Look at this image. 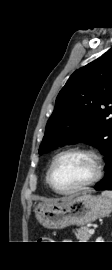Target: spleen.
Listing matches in <instances>:
<instances>
[{
    "instance_id": "1",
    "label": "spleen",
    "mask_w": 112,
    "mask_h": 270,
    "mask_svg": "<svg viewBox=\"0 0 112 270\" xmlns=\"http://www.w3.org/2000/svg\"><path fill=\"white\" fill-rule=\"evenodd\" d=\"M102 195L112 200V191H103Z\"/></svg>"
}]
</instances>
